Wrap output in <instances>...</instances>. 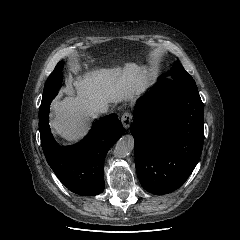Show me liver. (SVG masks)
<instances>
[{"instance_id":"6515ba94","label":"liver","mask_w":240,"mask_h":240,"mask_svg":"<svg viewBox=\"0 0 240 240\" xmlns=\"http://www.w3.org/2000/svg\"><path fill=\"white\" fill-rule=\"evenodd\" d=\"M151 80L152 73L134 63H127L122 70L100 69L88 72L83 77L78 76L73 81L77 97L53 100L51 109L54 119L51 126L67 140H76L87 130L88 116L93 114L89 108L91 101L115 103L133 99L149 87Z\"/></svg>"}]
</instances>
